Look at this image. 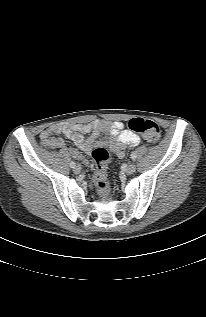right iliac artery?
I'll list each match as a JSON object with an SVG mask.
<instances>
[{"mask_svg":"<svg viewBox=\"0 0 206 317\" xmlns=\"http://www.w3.org/2000/svg\"><path fill=\"white\" fill-rule=\"evenodd\" d=\"M76 166L75 162L71 161L70 162V167L74 168Z\"/></svg>","mask_w":206,"mask_h":317,"instance_id":"82829eb1","label":"right iliac artery"}]
</instances>
